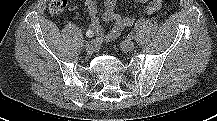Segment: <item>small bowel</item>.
<instances>
[{"mask_svg":"<svg viewBox=\"0 0 217 121\" xmlns=\"http://www.w3.org/2000/svg\"><path fill=\"white\" fill-rule=\"evenodd\" d=\"M138 3H148L145 11L151 15L156 11L160 10L163 5V0H134ZM84 5L90 15V29L98 37L97 42H111L117 39L122 32L133 26L135 20L130 16H122L116 11L117 0H102L105 10L102 14L104 22H113L112 29L105 32L100 19L98 17V3L97 0H83Z\"/></svg>","mask_w":217,"mask_h":121,"instance_id":"c3829d8e","label":"small bowel"}]
</instances>
